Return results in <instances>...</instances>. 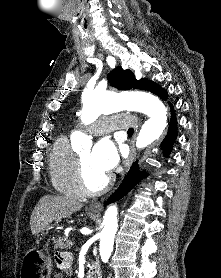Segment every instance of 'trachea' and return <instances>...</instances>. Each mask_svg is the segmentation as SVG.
<instances>
[{
	"instance_id": "1",
	"label": "trachea",
	"mask_w": 221,
	"mask_h": 278,
	"mask_svg": "<svg viewBox=\"0 0 221 278\" xmlns=\"http://www.w3.org/2000/svg\"><path fill=\"white\" fill-rule=\"evenodd\" d=\"M133 133H134V129L133 128L128 129V134H133Z\"/></svg>"
}]
</instances>
